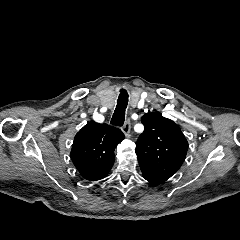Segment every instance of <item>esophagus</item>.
Listing matches in <instances>:
<instances>
[{"mask_svg":"<svg viewBox=\"0 0 240 240\" xmlns=\"http://www.w3.org/2000/svg\"><path fill=\"white\" fill-rule=\"evenodd\" d=\"M130 128H131V124H130V121L128 120L122 127V132L126 137L129 135Z\"/></svg>","mask_w":240,"mask_h":240,"instance_id":"1","label":"esophagus"}]
</instances>
